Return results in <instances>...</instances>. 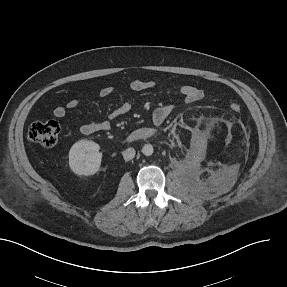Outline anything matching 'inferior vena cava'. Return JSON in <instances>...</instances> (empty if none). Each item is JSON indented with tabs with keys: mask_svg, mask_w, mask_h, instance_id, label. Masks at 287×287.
Returning <instances> with one entry per match:
<instances>
[{
	"mask_svg": "<svg viewBox=\"0 0 287 287\" xmlns=\"http://www.w3.org/2000/svg\"><path fill=\"white\" fill-rule=\"evenodd\" d=\"M135 153H136V151H135L134 148H128V149H126V150L123 152V158H124V160H125V161H129V160L133 159L134 156H135Z\"/></svg>",
	"mask_w": 287,
	"mask_h": 287,
	"instance_id": "602c4592",
	"label": "inferior vena cava"
}]
</instances>
